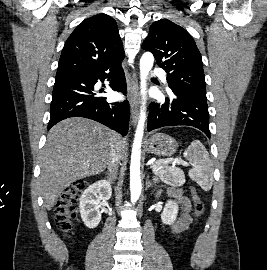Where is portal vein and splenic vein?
I'll list each match as a JSON object with an SVG mask.
<instances>
[{
  "label": "portal vein and splenic vein",
  "instance_id": "1",
  "mask_svg": "<svg viewBox=\"0 0 267 270\" xmlns=\"http://www.w3.org/2000/svg\"><path fill=\"white\" fill-rule=\"evenodd\" d=\"M162 163H168V162H173L174 164H182L187 166L188 163L183 161L181 158H175V159H170V160H165V161H161ZM147 165H150V167L153 169L154 163L152 162H148Z\"/></svg>",
  "mask_w": 267,
  "mask_h": 270
}]
</instances>
